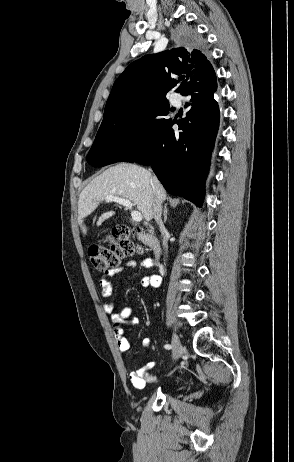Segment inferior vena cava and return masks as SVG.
<instances>
[{"instance_id":"obj_1","label":"inferior vena cava","mask_w":294,"mask_h":462,"mask_svg":"<svg viewBox=\"0 0 294 462\" xmlns=\"http://www.w3.org/2000/svg\"><path fill=\"white\" fill-rule=\"evenodd\" d=\"M161 214H162L161 202L157 198H155L154 204H153L152 215L155 221L157 222V224L159 225L160 230L163 231L164 225L161 220Z\"/></svg>"}]
</instances>
